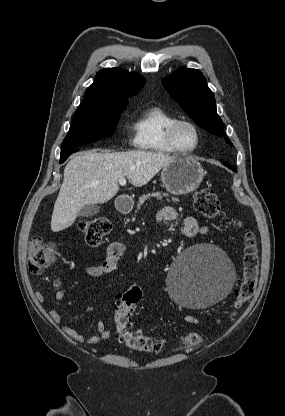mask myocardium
<instances>
[{"label":"myocardium","instance_id":"obj_1","mask_svg":"<svg viewBox=\"0 0 285 416\" xmlns=\"http://www.w3.org/2000/svg\"><path fill=\"white\" fill-rule=\"evenodd\" d=\"M181 125H188L194 131L195 138H196V144L193 148L184 149V148L179 146V144L177 142V138H176V132H177L178 127L181 126ZM167 141L169 143V146L171 147V149L174 152H176L178 154H181V155H190V154L195 153L200 147V144H201L200 130L194 122H192L188 119H176L168 127Z\"/></svg>","mask_w":285,"mask_h":416}]
</instances>
